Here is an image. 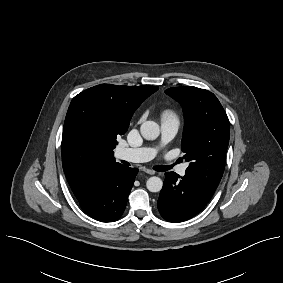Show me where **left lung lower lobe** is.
<instances>
[{
    "instance_id": "1",
    "label": "left lung lower lobe",
    "mask_w": 283,
    "mask_h": 283,
    "mask_svg": "<svg viewBox=\"0 0 283 283\" xmlns=\"http://www.w3.org/2000/svg\"><path fill=\"white\" fill-rule=\"evenodd\" d=\"M157 202L161 216L169 222H182L198 214L213 196L187 175L167 172Z\"/></svg>"
}]
</instances>
